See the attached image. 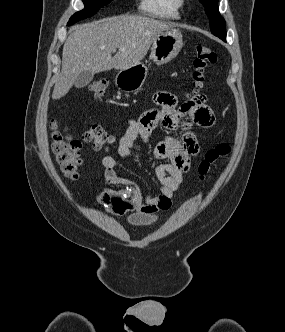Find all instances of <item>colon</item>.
<instances>
[{
    "label": "colon",
    "instance_id": "colon-1",
    "mask_svg": "<svg viewBox=\"0 0 285 332\" xmlns=\"http://www.w3.org/2000/svg\"><path fill=\"white\" fill-rule=\"evenodd\" d=\"M217 54L210 47L198 44L195 48V57L193 61V85L196 90L202 89L207 80L209 69L216 63ZM108 87L104 79L92 81L88 85V90L93 98L100 100L103 98ZM52 134V151L61 172L69 179H77L79 174L80 150L82 144L79 140L67 135L64 131L59 130L55 121L51 122ZM84 140L92 143L96 149H104L111 142V136L97 124H91L84 134ZM230 151L228 145H218L209 149L204 159L198 167L199 178L201 180L214 171L217 163L226 158Z\"/></svg>",
    "mask_w": 285,
    "mask_h": 332
}]
</instances>
